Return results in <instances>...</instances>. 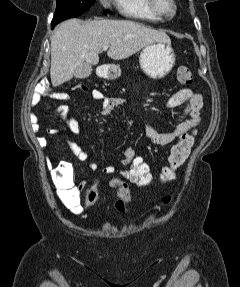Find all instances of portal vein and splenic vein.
Masks as SVG:
<instances>
[{"instance_id": "portal-vein-and-splenic-vein-1", "label": "portal vein and splenic vein", "mask_w": 240, "mask_h": 287, "mask_svg": "<svg viewBox=\"0 0 240 287\" xmlns=\"http://www.w3.org/2000/svg\"><path fill=\"white\" fill-rule=\"evenodd\" d=\"M109 48L108 45L103 46V50H107Z\"/></svg>"}]
</instances>
